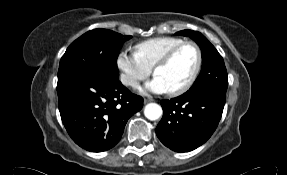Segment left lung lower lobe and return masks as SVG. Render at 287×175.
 <instances>
[{"label": "left lung lower lobe", "mask_w": 287, "mask_h": 175, "mask_svg": "<svg viewBox=\"0 0 287 175\" xmlns=\"http://www.w3.org/2000/svg\"><path fill=\"white\" fill-rule=\"evenodd\" d=\"M226 93L186 92L162 100L163 117L156 127L160 141L176 152L192 151L205 143L215 131L223 112Z\"/></svg>", "instance_id": "1"}]
</instances>
